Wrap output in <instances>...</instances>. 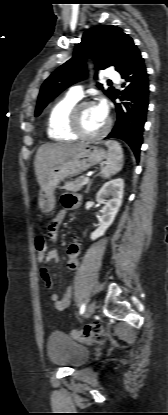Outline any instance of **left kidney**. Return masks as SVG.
Instances as JSON below:
<instances>
[{"label":"left kidney","instance_id":"left-kidney-1","mask_svg":"<svg viewBox=\"0 0 168 415\" xmlns=\"http://www.w3.org/2000/svg\"><path fill=\"white\" fill-rule=\"evenodd\" d=\"M124 180L121 178L106 182L96 194V201L104 204L102 215L99 219V227L91 233V240H95L104 235L106 230L113 223L119 208L122 204ZM110 197L109 200H107Z\"/></svg>","mask_w":168,"mask_h":415}]
</instances>
